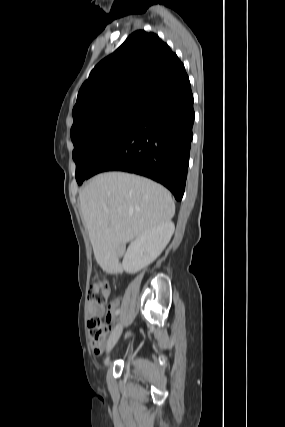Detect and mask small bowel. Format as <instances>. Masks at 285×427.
Returning a JSON list of instances; mask_svg holds the SVG:
<instances>
[{
    "instance_id": "small-bowel-1",
    "label": "small bowel",
    "mask_w": 285,
    "mask_h": 427,
    "mask_svg": "<svg viewBox=\"0 0 285 427\" xmlns=\"http://www.w3.org/2000/svg\"><path fill=\"white\" fill-rule=\"evenodd\" d=\"M119 300H113L108 308L104 306V304H99L97 302L91 301L88 305V316L89 318H101L106 315V319L111 322L114 320L115 313L119 308ZM95 349V348H94Z\"/></svg>"
}]
</instances>
